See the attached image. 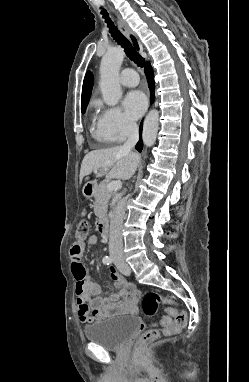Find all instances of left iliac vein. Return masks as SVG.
Returning <instances> with one entry per match:
<instances>
[{
  "instance_id": "left-iliac-vein-1",
  "label": "left iliac vein",
  "mask_w": 249,
  "mask_h": 382,
  "mask_svg": "<svg viewBox=\"0 0 249 382\" xmlns=\"http://www.w3.org/2000/svg\"><path fill=\"white\" fill-rule=\"evenodd\" d=\"M115 265L117 269L124 275L128 276L130 275V268L129 266L124 262L122 258H118L115 260Z\"/></svg>"
}]
</instances>
